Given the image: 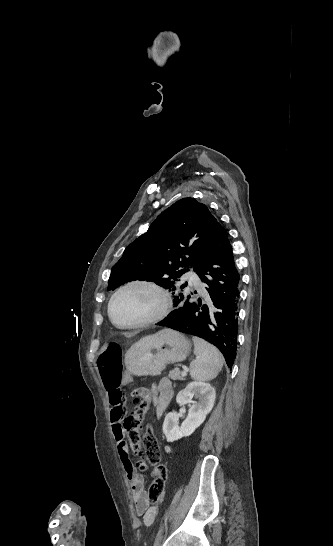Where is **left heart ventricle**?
<instances>
[{"label": "left heart ventricle", "instance_id": "obj_1", "mask_svg": "<svg viewBox=\"0 0 333 546\" xmlns=\"http://www.w3.org/2000/svg\"><path fill=\"white\" fill-rule=\"evenodd\" d=\"M159 304L158 296L147 288H130L115 300L112 314L119 324H132L151 315Z\"/></svg>", "mask_w": 333, "mask_h": 546}]
</instances>
